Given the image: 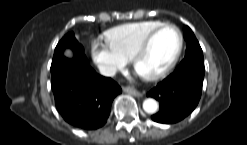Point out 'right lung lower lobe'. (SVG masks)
I'll list each match as a JSON object with an SVG mask.
<instances>
[{"mask_svg": "<svg viewBox=\"0 0 247 145\" xmlns=\"http://www.w3.org/2000/svg\"><path fill=\"white\" fill-rule=\"evenodd\" d=\"M51 87L55 104L69 124L87 130L103 126L113 99L121 93L111 78L97 74L83 52L73 59L64 56L52 61Z\"/></svg>", "mask_w": 247, "mask_h": 145, "instance_id": "obj_1", "label": "right lung lower lobe"}]
</instances>
